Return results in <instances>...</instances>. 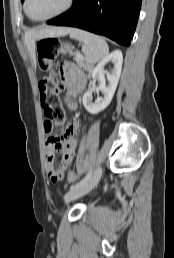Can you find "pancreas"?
<instances>
[{
    "label": "pancreas",
    "mask_w": 174,
    "mask_h": 258,
    "mask_svg": "<svg viewBox=\"0 0 174 258\" xmlns=\"http://www.w3.org/2000/svg\"><path fill=\"white\" fill-rule=\"evenodd\" d=\"M76 62L78 63L79 67H81L84 71H88L89 73L92 71V66L85 64L83 58L79 60L76 59Z\"/></svg>",
    "instance_id": "obj_1"
}]
</instances>
